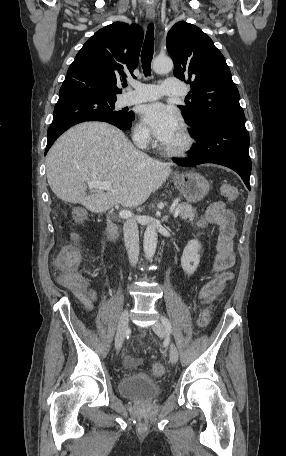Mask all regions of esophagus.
<instances>
[{
  "label": "esophagus",
  "instance_id": "1",
  "mask_svg": "<svg viewBox=\"0 0 286 456\" xmlns=\"http://www.w3.org/2000/svg\"><path fill=\"white\" fill-rule=\"evenodd\" d=\"M146 16L149 20H153L155 17V12L154 11H147Z\"/></svg>",
  "mask_w": 286,
  "mask_h": 456
}]
</instances>
